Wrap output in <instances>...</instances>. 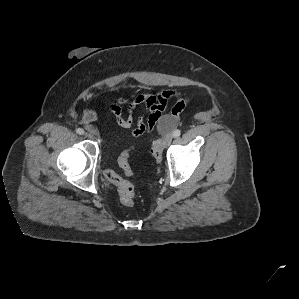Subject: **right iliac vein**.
<instances>
[{
    "label": "right iliac vein",
    "instance_id": "63e3f726",
    "mask_svg": "<svg viewBox=\"0 0 299 299\" xmlns=\"http://www.w3.org/2000/svg\"><path fill=\"white\" fill-rule=\"evenodd\" d=\"M85 137L89 138V139H93L94 135L91 133H85Z\"/></svg>",
    "mask_w": 299,
    "mask_h": 299
}]
</instances>
